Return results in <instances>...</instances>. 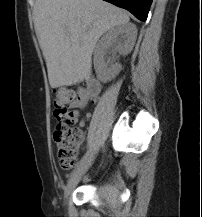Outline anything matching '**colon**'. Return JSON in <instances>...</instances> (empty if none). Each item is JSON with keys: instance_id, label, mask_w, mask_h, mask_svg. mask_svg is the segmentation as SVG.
<instances>
[{"instance_id": "1", "label": "colon", "mask_w": 202, "mask_h": 217, "mask_svg": "<svg viewBox=\"0 0 202 217\" xmlns=\"http://www.w3.org/2000/svg\"><path fill=\"white\" fill-rule=\"evenodd\" d=\"M82 99V94L73 89L59 88L55 93L54 114L58 119L54 128V140L60 166L69 170L77 163V152L84 139L82 128L70 121V108Z\"/></svg>"}]
</instances>
